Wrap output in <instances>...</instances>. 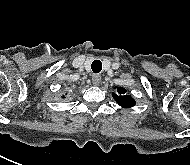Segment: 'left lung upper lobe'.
<instances>
[{
	"instance_id": "5c2ea615",
	"label": "left lung upper lobe",
	"mask_w": 190,
	"mask_h": 165,
	"mask_svg": "<svg viewBox=\"0 0 190 165\" xmlns=\"http://www.w3.org/2000/svg\"><path fill=\"white\" fill-rule=\"evenodd\" d=\"M127 90L125 88L119 87L117 88V93H113L112 96L118 104L124 108L132 107L135 105V100L131 97L126 95Z\"/></svg>"
}]
</instances>
